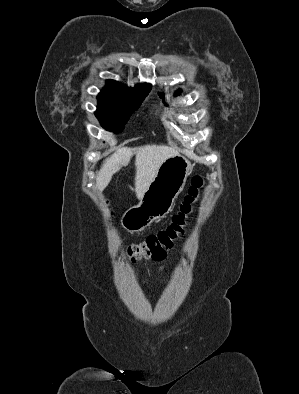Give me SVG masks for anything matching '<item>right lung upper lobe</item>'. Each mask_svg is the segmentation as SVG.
<instances>
[{
    "label": "right lung upper lobe",
    "mask_w": 299,
    "mask_h": 394,
    "mask_svg": "<svg viewBox=\"0 0 299 394\" xmlns=\"http://www.w3.org/2000/svg\"><path fill=\"white\" fill-rule=\"evenodd\" d=\"M151 89L150 84H141L137 85L134 88H128L125 87L123 84L118 83L117 81L114 80H108L106 82V86L103 88L101 93L98 96L101 95H108V94H113V93H118V92H129L133 93L136 95H143V94H148Z\"/></svg>",
    "instance_id": "cb5924a9"
}]
</instances>
